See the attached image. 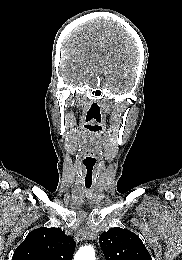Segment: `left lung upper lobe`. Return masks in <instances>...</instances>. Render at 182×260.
<instances>
[{
  "instance_id": "5c2ea615",
  "label": "left lung upper lobe",
  "mask_w": 182,
  "mask_h": 260,
  "mask_svg": "<svg viewBox=\"0 0 182 260\" xmlns=\"http://www.w3.org/2000/svg\"><path fill=\"white\" fill-rule=\"evenodd\" d=\"M99 243L106 260H152L142 240L127 229L111 228Z\"/></svg>"
}]
</instances>
